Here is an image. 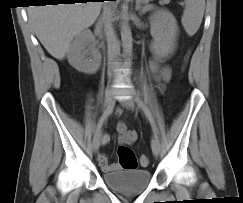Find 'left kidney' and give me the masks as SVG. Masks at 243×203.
<instances>
[{"instance_id":"1","label":"left kidney","mask_w":243,"mask_h":203,"mask_svg":"<svg viewBox=\"0 0 243 203\" xmlns=\"http://www.w3.org/2000/svg\"><path fill=\"white\" fill-rule=\"evenodd\" d=\"M153 41L150 50L157 58H166L176 47L178 26L175 17L167 11H158L151 19Z\"/></svg>"}]
</instances>
